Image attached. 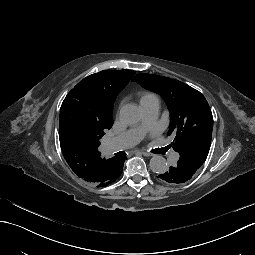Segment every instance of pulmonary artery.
Masks as SVG:
<instances>
[{"label": "pulmonary artery", "mask_w": 255, "mask_h": 255, "mask_svg": "<svg viewBox=\"0 0 255 255\" xmlns=\"http://www.w3.org/2000/svg\"><path fill=\"white\" fill-rule=\"evenodd\" d=\"M159 102L154 101L141 105V110L143 114V127L145 130L150 131L152 129L158 130L161 127L160 121L156 120L159 114ZM142 137V132L140 130H128L119 136L112 138L106 142V152L112 155L116 152L125 150L129 147L135 145ZM167 158L170 163L175 164L178 161V153L175 150L169 151L167 153Z\"/></svg>", "instance_id": "pulmonary-artery-1"}]
</instances>
